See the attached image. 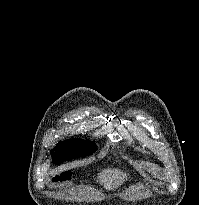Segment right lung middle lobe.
<instances>
[{"instance_id":"1","label":"right lung middle lobe","mask_w":199,"mask_h":205,"mask_svg":"<svg viewBox=\"0 0 199 205\" xmlns=\"http://www.w3.org/2000/svg\"><path fill=\"white\" fill-rule=\"evenodd\" d=\"M97 150L95 143L82 139H69L59 142L51 151L54 164H60L64 161L79 157H86Z\"/></svg>"}]
</instances>
